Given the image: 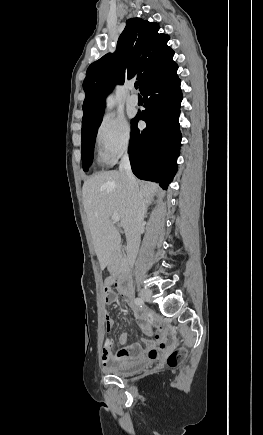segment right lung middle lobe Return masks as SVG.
Listing matches in <instances>:
<instances>
[{"mask_svg":"<svg viewBox=\"0 0 263 435\" xmlns=\"http://www.w3.org/2000/svg\"><path fill=\"white\" fill-rule=\"evenodd\" d=\"M102 117L93 125L82 129V162L83 170L87 171L93 160L95 139Z\"/></svg>","mask_w":263,"mask_h":435,"instance_id":"dd1d6c3e","label":"right lung middle lobe"}]
</instances>
